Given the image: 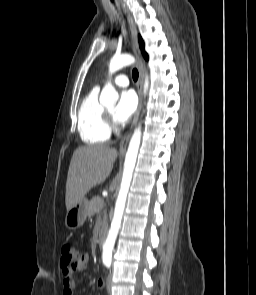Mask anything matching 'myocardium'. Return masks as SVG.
<instances>
[{"label":"myocardium","instance_id":"myocardium-1","mask_svg":"<svg viewBox=\"0 0 256 295\" xmlns=\"http://www.w3.org/2000/svg\"><path fill=\"white\" fill-rule=\"evenodd\" d=\"M105 119H106L108 127H111L112 126V115L108 110H105Z\"/></svg>","mask_w":256,"mask_h":295}]
</instances>
